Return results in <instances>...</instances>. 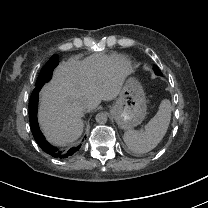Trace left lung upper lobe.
<instances>
[{"label":"left lung upper lobe","mask_w":208,"mask_h":208,"mask_svg":"<svg viewBox=\"0 0 208 208\" xmlns=\"http://www.w3.org/2000/svg\"><path fill=\"white\" fill-rule=\"evenodd\" d=\"M153 69L157 75H162L161 71L159 70L157 66H154Z\"/></svg>","instance_id":"5c2ea615"}]
</instances>
